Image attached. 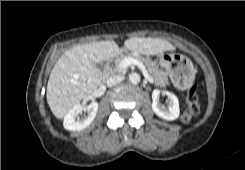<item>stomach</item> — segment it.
<instances>
[{"mask_svg": "<svg viewBox=\"0 0 245 170\" xmlns=\"http://www.w3.org/2000/svg\"><path fill=\"white\" fill-rule=\"evenodd\" d=\"M185 63L186 66H191L190 61L185 56L177 53H162L159 58L161 69L167 73H174L176 69H180Z\"/></svg>", "mask_w": 245, "mask_h": 170, "instance_id": "0dacf381", "label": "stomach"}]
</instances>
